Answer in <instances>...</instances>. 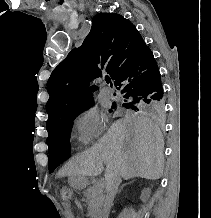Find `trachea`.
<instances>
[{
	"mask_svg": "<svg viewBox=\"0 0 211 218\" xmlns=\"http://www.w3.org/2000/svg\"><path fill=\"white\" fill-rule=\"evenodd\" d=\"M105 80H106L107 83H111L110 77H105Z\"/></svg>",
	"mask_w": 211,
	"mask_h": 218,
	"instance_id": "3493384b",
	"label": "trachea"
}]
</instances>
